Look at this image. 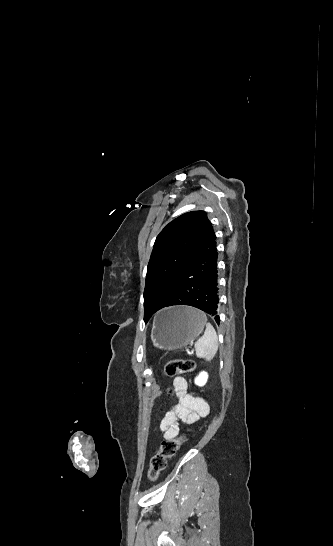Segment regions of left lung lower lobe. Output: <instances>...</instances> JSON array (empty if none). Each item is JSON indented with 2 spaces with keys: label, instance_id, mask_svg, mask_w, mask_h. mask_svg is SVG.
<instances>
[{
  "label": "left lung lower lobe",
  "instance_id": "0a47b994",
  "mask_svg": "<svg viewBox=\"0 0 333 546\" xmlns=\"http://www.w3.org/2000/svg\"><path fill=\"white\" fill-rule=\"evenodd\" d=\"M217 261L216 236L211 227L200 245L196 258L178 277L163 307L193 306L211 315L219 324ZM201 262L204 263V267L200 273H196V267Z\"/></svg>",
  "mask_w": 333,
  "mask_h": 546
}]
</instances>
